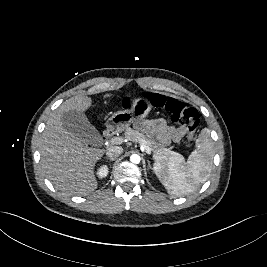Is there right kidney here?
Segmentation results:
<instances>
[{
  "instance_id": "obj_1",
  "label": "right kidney",
  "mask_w": 267,
  "mask_h": 267,
  "mask_svg": "<svg viewBox=\"0 0 267 267\" xmlns=\"http://www.w3.org/2000/svg\"><path fill=\"white\" fill-rule=\"evenodd\" d=\"M108 172H109L108 167L104 165L98 169L97 175L99 178H105L108 175Z\"/></svg>"
}]
</instances>
